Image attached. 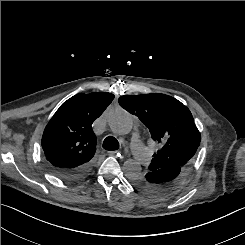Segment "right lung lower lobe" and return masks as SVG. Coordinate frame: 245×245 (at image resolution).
Masks as SVG:
<instances>
[{"label": "right lung lower lobe", "mask_w": 245, "mask_h": 245, "mask_svg": "<svg viewBox=\"0 0 245 245\" xmlns=\"http://www.w3.org/2000/svg\"><path fill=\"white\" fill-rule=\"evenodd\" d=\"M92 167H93L92 162H90L84 166L74 168V169L54 168L51 166H49V169L56 176H58L64 180L75 181V180H78V179H81V178L87 176L91 172Z\"/></svg>", "instance_id": "right-lung-lower-lobe-1"}]
</instances>
